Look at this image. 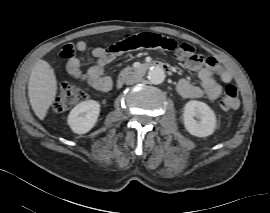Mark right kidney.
Instances as JSON below:
<instances>
[{"label": "right kidney", "mask_w": 270, "mask_h": 213, "mask_svg": "<svg viewBox=\"0 0 270 213\" xmlns=\"http://www.w3.org/2000/svg\"><path fill=\"white\" fill-rule=\"evenodd\" d=\"M100 104L94 100H87L76 105L68 115V124L77 134L89 132L97 122Z\"/></svg>", "instance_id": "right-kidney-1"}]
</instances>
